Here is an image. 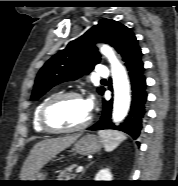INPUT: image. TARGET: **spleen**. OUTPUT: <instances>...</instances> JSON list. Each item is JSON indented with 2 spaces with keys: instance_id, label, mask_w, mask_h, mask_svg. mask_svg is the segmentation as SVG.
Segmentation results:
<instances>
[{
  "instance_id": "1",
  "label": "spleen",
  "mask_w": 178,
  "mask_h": 186,
  "mask_svg": "<svg viewBox=\"0 0 178 186\" xmlns=\"http://www.w3.org/2000/svg\"><path fill=\"white\" fill-rule=\"evenodd\" d=\"M98 133L107 152L113 151L127 138L124 133L119 131L100 130Z\"/></svg>"
}]
</instances>
